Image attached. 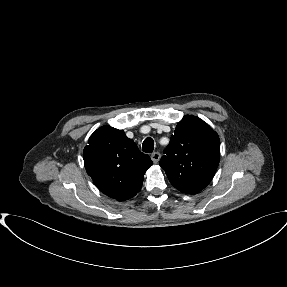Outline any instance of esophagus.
Instances as JSON below:
<instances>
[{"label": "esophagus", "mask_w": 287, "mask_h": 287, "mask_svg": "<svg viewBox=\"0 0 287 287\" xmlns=\"http://www.w3.org/2000/svg\"><path fill=\"white\" fill-rule=\"evenodd\" d=\"M160 157H161V155H160L159 152H154V153H152V155H151V159H152V161H153L154 163H158L159 160H160Z\"/></svg>", "instance_id": "1"}]
</instances>
